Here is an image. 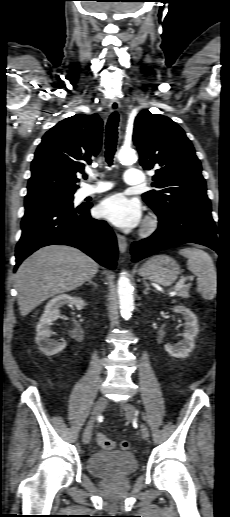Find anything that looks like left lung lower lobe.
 Returning a JSON list of instances; mask_svg holds the SVG:
<instances>
[{"instance_id": "obj_1", "label": "left lung lower lobe", "mask_w": 230, "mask_h": 517, "mask_svg": "<svg viewBox=\"0 0 230 517\" xmlns=\"http://www.w3.org/2000/svg\"><path fill=\"white\" fill-rule=\"evenodd\" d=\"M158 218L159 225L154 234L132 244L133 262L184 243L201 244L220 254L211 206L181 208L173 214L161 215Z\"/></svg>"}]
</instances>
